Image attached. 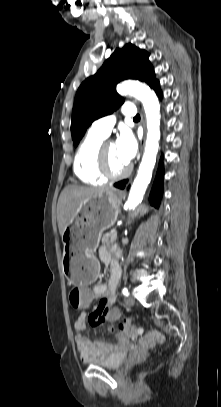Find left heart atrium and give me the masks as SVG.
<instances>
[{
  "mask_svg": "<svg viewBox=\"0 0 221 407\" xmlns=\"http://www.w3.org/2000/svg\"><path fill=\"white\" fill-rule=\"evenodd\" d=\"M115 145L120 158L128 164L134 158L137 151V143L131 132L123 130Z\"/></svg>",
  "mask_w": 221,
  "mask_h": 407,
  "instance_id": "1",
  "label": "left heart atrium"
}]
</instances>
